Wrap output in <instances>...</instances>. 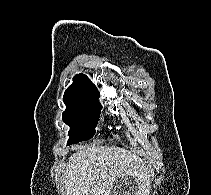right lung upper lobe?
Here are the masks:
<instances>
[{"label":"right lung upper lobe","mask_w":211,"mask_h":195,"mask_svg":"<svg viewBox=\"0 0 211 195\" xmlns=\"http://www.w3.org/2000/svg\"><path fill=\"white\" fill-rule=\"evenodd\" d=\"M100 96L96 86L84 74L73 78V83L65 91L63 101L71 103H99Z\"/></svg>","instance_id":"obj_1"}]
</instances>
